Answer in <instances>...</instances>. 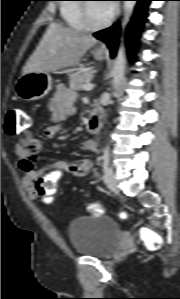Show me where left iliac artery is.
I'll use <instances>...</instances> for the list:
<instances>
[{"mask_svg":"<svg viewBox=\"0 0 180 299\" xmlns=\"http://www.w3.org/2000/svg\"><path fill=\"white\" fill-rule=\"evenodd\" d=\"M109 162H110L109 150L105 149L104 150V156H103V164H102V167H103L104 171L108 168Z\"/></svg>","mask_w":180,"mask_h":299,"instance_id":"left-iliac-artery-1","label":"left iliac artery"}]
</instances>
